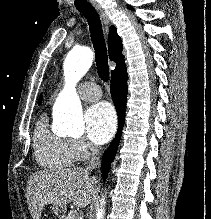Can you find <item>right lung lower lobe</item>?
Listing matches in <instances>:
<instances>
[{
    "label": "right lung lower lobe",
    "instance_id": "98d812e1",
    "mask_svg": "<svg viewBox=\"0 0 211 219\" xmlns=\"http://www.w3.org/2000/svg\"><path fill=\"white\" fill-rule=\"evenodd\" d=\"M127 72L126 67H123L111 75V96L118 115V130L115 139L110 144L108 150L103 155L102 178L106 180L111 162L116 154L122 129L125 121V107L127 99Z\"/></svg>",
    "mask_w": 211,
    "mask_h": 219
}]
</instances>
